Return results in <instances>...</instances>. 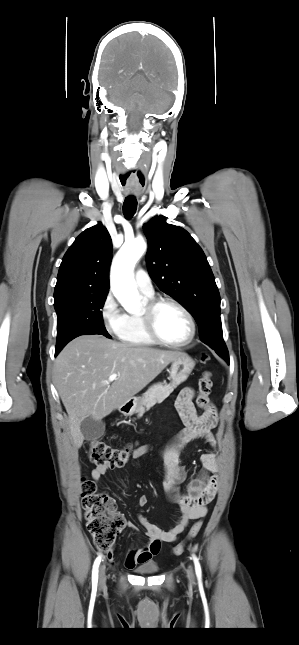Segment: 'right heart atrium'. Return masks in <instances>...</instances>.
I'll use <instances>...</instances> for the list:
<instances>
[{
  "label": "right heart atrium",
  "instance_id": "obj_1",
  "mask_svg": "<svg viewBox=\"0 0 299 645\" xmlns=\"http://www.w3.org/2000/svg\"><path fill=\"white\" fill-rule=\"evenodd\" d=\"M100 316L104 329L114 336H118L123 328L125 314L122 312L116 298L108 292L100 307Z\"/></svg>",
  "mask_w": 299,
  "mask_h": 645
}]
</instances>
